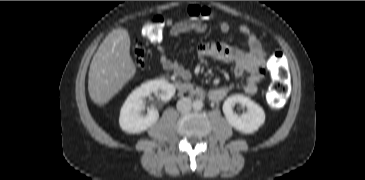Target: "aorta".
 <instances>
[{
    "mask_svg": "<svg viewBox=\"0 0 365 180\" xmlns=\"http://www.w3.org/2000/svg\"><path fill=\"white\" fill-rule=\"evenodd\" d=\"M192 107L195 110H201L203 108V102H202V100H195V101H193Z\"/></svg>",
    "mask_w": 365,
    "mask_h": 180,
    "instance_id": "obj_1",
    "label": "aorta"
}]
</instances>
